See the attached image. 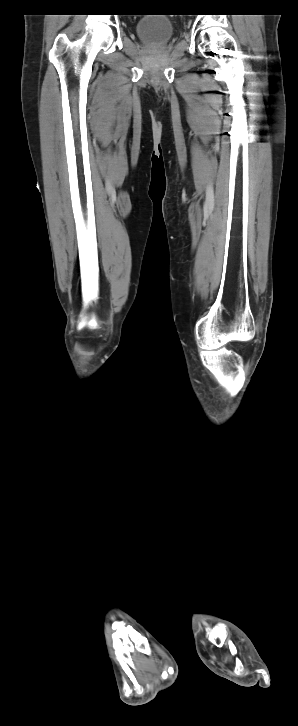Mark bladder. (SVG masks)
I'll use <instances>...</instances> for the list:
<instances>
[{"mask_svg":"<svg viewBox=\"0 0 298 726\" xmlns=\"http://www.w3.org/2000/svg\"><path fill=\"white\" fill-rule=\"evenodd\" d=\"M162 15L146 14L135 23V32L143 42L151 45H163L172 38L173 24L170 19Z\"/></svg>","mask_w":298,"mask_h":726,"instance_id":"1","label":"bladder"}]
</instances>
